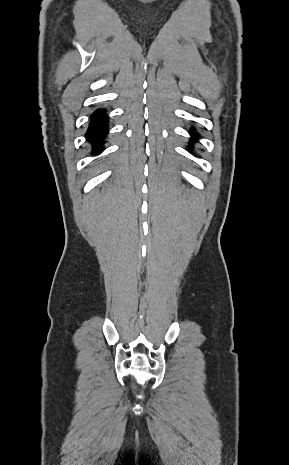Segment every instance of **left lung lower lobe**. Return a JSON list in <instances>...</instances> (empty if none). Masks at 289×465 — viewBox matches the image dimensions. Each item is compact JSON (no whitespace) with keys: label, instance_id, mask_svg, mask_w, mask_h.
I'll use <instances>...</instances> for the list:
<instances>
[{"label":"left lung lower lobe","instance_id":"left-lung-lower-lobe-1","mask_svg":"<svg viewBox=\"0 0 289 465\" xmlns=\"http://www.w3.org/2000/svg\"><path fill=\"white\" fill-rule=\"evenodd\" d=\"M191 135H192V137H193L194 139L196 138V136H195V134H194V133H192Z\"/></svg>","mask_w":289,"mask_h":465}]
</instances>
